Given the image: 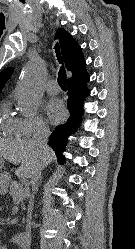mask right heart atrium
<instances>
[{"label": "right heart atrium", "mask_w": 135, "mask_h": 249, "mask_svg": "<svg viewBox=\"0 0 135 249\" xmlns=\"http://www.w3.org/2000/svg\"><path fill=\"white\" fill-rule=\"evenodd\" d=\"M16 123L20 136L24 138L44 135L49 131L46 122L39 115L17 118Z\"/></svg>", "instance_id": "d8ad5b80"}]
</instances>
